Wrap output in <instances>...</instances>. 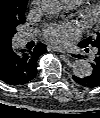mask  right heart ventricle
<instances>
[{
  "label": "right heart ventricle",
  "mask_w": 100,
  "mask_h": 118,
  "mask_svg": "<svg viewBox=\"0 0 100 118\" xmlns=\"http://www.w3.org/2000/svg\"><path fill=\"white\" fill-rule=\"evenodd\" d=\"M66 3L80 4L83 0H63Z\"/></svg>",
  "instance_id": "obj_1"
}]
</instances>
